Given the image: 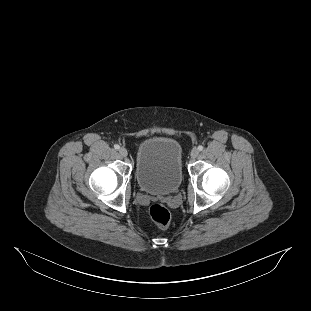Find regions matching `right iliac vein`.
<instances>
[{"label":"right iliac vein","instance_id":"obj_1","mask_svg":"<svg viewBox=\"0 0 311 311\" xmlns=\"http://www.w3.org/2000/svg\"><path fill=\"white\" fill-rule=\"evenodd\" d=\"M119 153H120V155H121L122 157H126V156L128 155V151H127V149L124 148V147H121V148L119 149Z\"/></svg>","mask_w":311,"mask_h":311}]
</instances>
